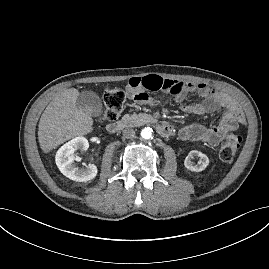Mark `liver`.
I'll list each match as a JSON object with an SVG mask.
<instances>
[{
  "instance_id": "6515ba94",
  "label": "liver",
  "mask_w": 269,
  "mask_h": 269,
  "mask_svg": "<svg viewBox=\"0 0 269 269\" xmlns=\"http://www.w3.org/2000/svg\"><path fill=\"white\" fill-rule=\"evenodd\" d=\"M79 91L70 88L58 94L41 115L38 140L43 152L48 153L65 141L92 132L93 119L76 105Z\"/></svg>"
}]
</instances>
